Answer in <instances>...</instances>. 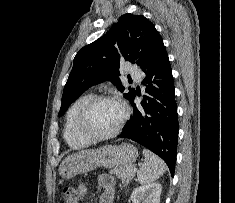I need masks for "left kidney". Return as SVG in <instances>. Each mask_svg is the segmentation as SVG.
<instances>
[{
    "instance_id": "1",
    "label": "left kidney",
    "mask_w": 235,
    "mask_h": 203,
    "mask_svg": "<svg viewBox=\"0 0 235 203\" xmlns=\"http://www.w3.org/2000/svg\"><path fill=\"white\" fill-rule=\"evenodd\" d=\"M162 186L160 183H150L133 190L131 201L133 203H160Z\"/></svg>"
}]
</instances>
